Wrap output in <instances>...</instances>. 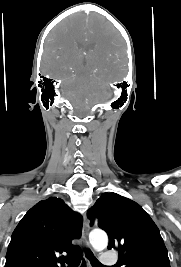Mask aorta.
<instances>
[{"label": "aorta", "instance_id": "1", "mask_svg": "<svg viewBox=\"0 0 181 267\" xmlns=\"http://www.w3.org/2000/svg\"><path fill=\"white\" fill-rule=\"evenodd\" d=\"M89 240L92 247L96 251L104 250L108 245V237L107 234L100 230H94L89 235Z\"/></svg>", "mask_w": 181, "mask_h": 267}]
</instances>
